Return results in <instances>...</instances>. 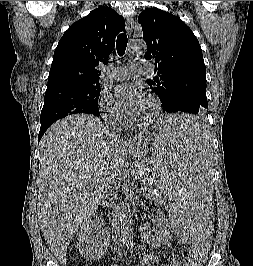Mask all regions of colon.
<instances>
[{
    "label": "colon",
    "mask_w": 253,
    "mask_h": 266,
    "mask_svg": "<svg viewBox=\"0 0 253 266\" xmlns=\"http://www.w3.org/2000/svg\"><path fill=\"white\" fill-rule=\"evenodd\" d=\"M209 248L210 242H205L204 248H190L184 259V266H200L206 258Z\"/></svg>",
    "instance_id": "1"
}]
</instances>
